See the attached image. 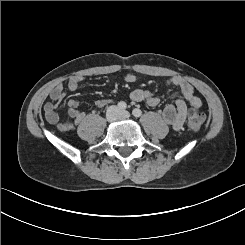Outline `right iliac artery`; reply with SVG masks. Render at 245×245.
<instances>
[{"mask_svg": "<svg viewBox=\"0 0 245 245\" xmlns=\"http://www.w3.org/2000/svg\"><path fill=\"white\" fill-rule=\"evenodd\" d=\"M117 106H118V109H119V110H123V111H125V109H126V107H127L126 103L123 102V101H120V102L117 104Z\"/></svg>", "mask_w": 245, "mask_h": 245, "instance_id": "1", "label": "right iliac artery"}]
</instances>
